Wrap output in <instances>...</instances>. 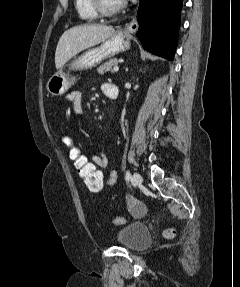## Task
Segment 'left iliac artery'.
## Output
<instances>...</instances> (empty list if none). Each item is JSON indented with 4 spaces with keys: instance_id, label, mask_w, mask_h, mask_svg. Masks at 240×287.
<instances>
[{
    "instance_id": "left-iliac-artery-1",
    "label": "left iliac artery",
    "mask_w": 240,
    "mask_h": 287,
    "mask_svg": "<svg viewBox=\"0 0 240 287\" xmlns=\"http://www.w3.org/2000/svg\"><path fill=\"white\" fill-rule=\"evenodd\" d=\"M125 178L126 180H129L131 178V174L129 171L126 172Z\"/></svg>"
}]
</instances>
